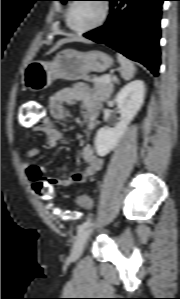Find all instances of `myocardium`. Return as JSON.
Wrapping results in <instances>:
<instances>
[{"instance_id":"f54148a6","label":"myocardium","mask_w":180,"mask_h":299,"mask_svg":"<svg viewBox=\"0 0 180 299\" xmlns=\"http://www.w3.org/2000/svg\"><path fill=\"white\" fill-rule=\"evenodd\" d=\"M77 0H73V2H71L68 6L67 12H66V24L67 27L74 33L76 34H85L88 32H91L93 30H96L98 28H100L108 19L109 17V13H110V5L107 2V0H96L97 2H99L100 6H101V16L99 18V20L94 23L93 25L83 28V29H76L71 25V21H70V17H71V11L73 6L75 5Z\"/></svg>"}]
</instances>
